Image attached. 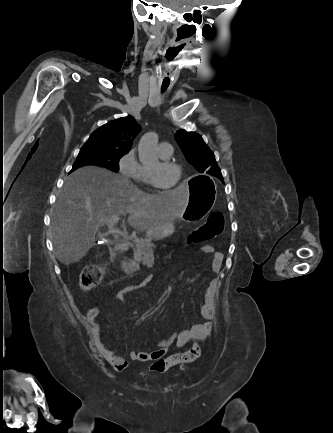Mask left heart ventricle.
Wrapping results in <instances>:
<instances>
[{
  "label": "left heart ventricle",
  "mask_w": 333,
  "mask_h": 433,
  "mask_svg": "<svg viewBox=\"0 0 333 433\" xmlns=\"http://www.w3.org/2000/svg\"><path fill=\"white\" fill-rule=\"evenodd\" d=\"M149 170L154 174L157 182L165 188H171L177 179L176 169L163 166L161 161L149 166Z\"/></svg>",
  "instance_id": "obj_1"
}]
</instances>
